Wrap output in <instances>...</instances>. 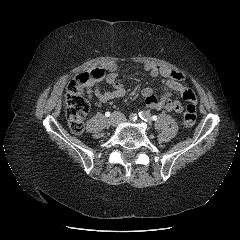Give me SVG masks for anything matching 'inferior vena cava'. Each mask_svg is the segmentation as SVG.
I'll list each match as a JSON object with an SVG mask.
<instances>
[{"mask_svg": "<svg viewBox=\"0 0 240 240\" xmlns=\"http://www.w3.org/2000/svg\"><path fill=\"white\" fill-rule=\"evenodd\" d=\"M123 119H124V115L123 114H119Z\"/></svg>", "mask_w": 240, "mask_h": 240, "instance_id": "1", "label": "inferior vena cava"}]
</instances>
